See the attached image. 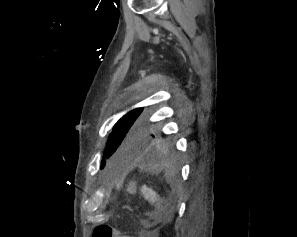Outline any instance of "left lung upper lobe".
<instances>
[{
  "mask_svg": "<svg viewBox=\"0 0 297 237\" xmlns=\"http://www.w3.org/2000/svg\"><path fill=\"white\" fill-rule=\"evenodd\" d=\"M156 139L145 125L143 108L130 111L114 125L104 151L101 168L110 157L131 159L148 154Z\"/></svg>",
  "mask_w": 297,
  "mask_h": 237,
  "instance_id": "left-lung-upper-lobe-1",
  "label": "left lung upper lobe"
}]
</instances>
